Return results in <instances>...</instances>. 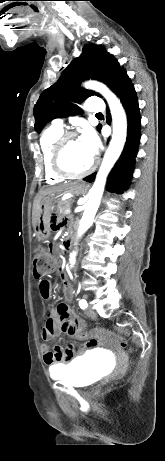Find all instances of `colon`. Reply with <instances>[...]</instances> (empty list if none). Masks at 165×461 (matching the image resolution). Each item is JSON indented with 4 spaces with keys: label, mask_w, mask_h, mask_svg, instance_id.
Instances as JSON below:
<instances>
[{
    "label": "colon",
    "mask_w": 165,
    "mask_h": 461,
    "mask_svg": "<svg viewBox=\"0 0 165 461\" xmlns=\"http://www.w3.org/2000/svg\"><path fill=\"white\" fill-rule=\"evenodd\" d=\"M54 269V262L49 254V250L45 247L39 246L35 250L34 258H33V274L35 278H41L44 275L49 274ZM87 338H89V342L87 343L89 346L96 345L100 340H108L115 345L119 346L120 348H125L127 346L126 340L113 333L110 330H97L93 334H88ZM84 343L81 341L80 347ZM79 347V348H80ZM75 349L73 344H67L66 350L68 352H72Z\"/></svg>",
    "instance_id": "5ec220e1"
}]
</instances>
